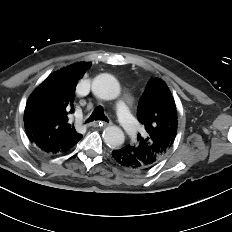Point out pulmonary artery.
Instances as JSON below:
<instances>
[{
	"label": "pulmonary artery",
	"instance_id": "e3ab8cb5",
	"mask_svg": "<svg viewBox=\"0 0 232 232\" xmlns=\"http://www.w3.org/2000/svg\"><path fill=\"white\" fill-rule=\"evenodd\" d=\"M115 112L127 133L131 136L135 135L138 124L123 101L117 104Z\"/></svg>",
	"mask_w": 232,
	"mask_h": 232
}]
</instances>
